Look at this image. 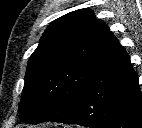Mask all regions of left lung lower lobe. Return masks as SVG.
I'll list each match as a JSON object with an SVG mask.
<instances>
[{
  "instance_id": "1",
  "label": "left lung lower lobe",
  "mask_w": 142,
  "mask_h": 128,
  "mask_svg": "<svg viewBox=\"0 0 142 128\" xmlns=\"http://www.w3.org/2000/svg\"><path fill=\"white\" fill-rule=\"evenodd\" d=\"M142 93L123 49L85 86L69 114L56 122L89 128H142Z\"/></svg>"
}]
</instances>
